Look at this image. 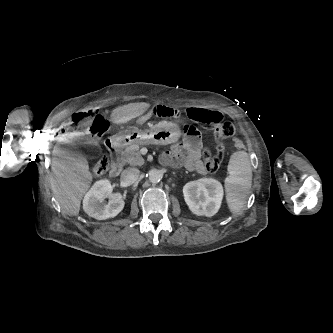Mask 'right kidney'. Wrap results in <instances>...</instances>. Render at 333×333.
<instances>
[{
    "instance_id": "right-kidney-1",
    "label": "right kidney",
    "mask_w": 333,
    "mask_h": 333,
    "mask_svg": "<svg viewBox=\"0 0 333 333\" xmlns=\"http://www.w3.org/2000/svg\"><path fill=\"white\" fill-rule=\"evenodd\" d=\"M113 186L107 179H102L91 187L83 199V209L90 216L98 220L115 217L124 207V200L120 193L112 194ZM109 197L108 204L101 202Z\"/></svg>"
}]
</instances>
